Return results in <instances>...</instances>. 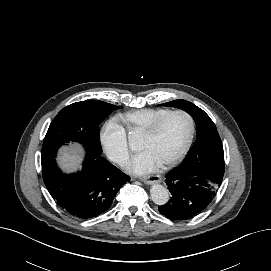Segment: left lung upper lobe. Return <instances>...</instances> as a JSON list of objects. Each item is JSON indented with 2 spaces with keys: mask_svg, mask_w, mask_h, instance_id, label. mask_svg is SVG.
Here are the masks:
<instances>
[{
  "mask_svg": "<svg viewBox=\"0 0 271 271\" xmlns=\"http://www.w3.org/2000/svg\"><path fill=\"white\" fill-rule=\"evenodd\" d=\"M164 106L178 107L186 111L193 117L197 126L194 148L181 167L223 177V146L216 126L210 117L193 103L182 99L167 102Z\"/></svg>",
  "mask_w": 271,
  "mask_h": 271,
  "instance_id": "left-lung-upper-lobe-1",
  "label": "left lung upper lobe"
}]
</instances>
